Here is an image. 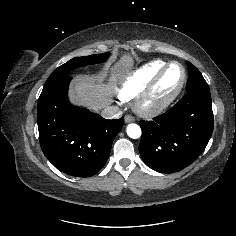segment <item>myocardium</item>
I'll list each match as a JSON object with an SVG mask.
<instances>
[{
    "instance_id": "obj_1",
    "label": "myocardium",
    "mask_w": 236,
    "mask_h": 236,
    "mask_svg": "<svg viewBox=\"0 0 236 236\" xmlns=\"http://www.w3.org/2000/svg\"><path fill=\"white\" fill-rule=\"evenodd\" d=\"M178 65L180 66L182 70V78L181 81L176 88V90L168 96L166 99L157 102V103H151L152 95L161 81V79L164 77L165 73L172 65ZM186 70L184 66L177 62L172 61L167 63L156 75L155 77L150 81V83L146 86V88L138 95L135 103H134V109L135 111L144 117H154L159 114H161L163 111H165L168 107H170L173 102L178 98L180 93L182 92L184 85L186 83Z\"/></svg>"
}]
</instances>
